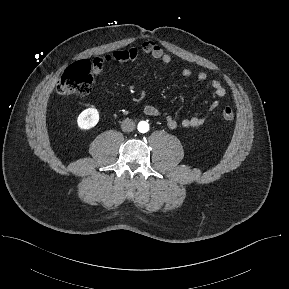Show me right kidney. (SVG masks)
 Returning <instances> with one entry per match:
<instances>
[{"label": "right kidney", "instance_id": "ca27d5eb", "mask_svg": "<svg viewBox=\"0 0 289 289\" xmlns=\"http://www.w3.org/2000/svg\"><path fill=\"white\" fill-rule=\"evenodd\" d=\"M99 122V112L95 108L82 111L77 118V125L81 130H89Z\"/></svg>", "mask_w": 289, "mask_h": 289}]
</instances>
